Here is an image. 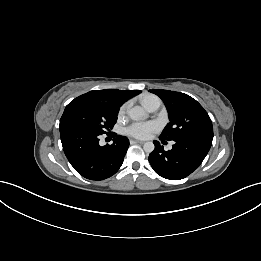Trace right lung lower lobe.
<instances>
[{
    "mask_svg": "<svg viewBox=\"0 0 261 261\" xmlns=\"http://www.w3.org/2000/svg\"><path fill=\"white\" fill-rule=\"evenodd\" d=\"M64 153L73 168L90 180H104L121 167L129 147L126 137L116 135L113 144L100 146L99 136L86 129H60Z\"/></svg>",
    "mask_w": 261,
    "mask_h": 261,
    "instance_id": "98d812e1",
    "label": "right lung lower lobe"
}]
</instances>
